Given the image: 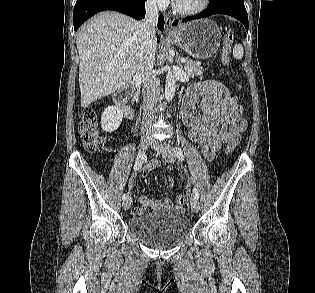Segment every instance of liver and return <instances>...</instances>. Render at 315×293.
<instances>
[{
	"instance_id": "1",
	"label": "liver",
	"mask_w": 315,
	"mask_h": 293,
	"mask_svg": "<svg viewBox=\"0 0 315 293\" xmlns=\"http://www.w3.org/2000/svg\"><path fill=\"white\" fill-rule=\"evenodd\" d=\"M140 24L126 15L107 11L96 15L78 31L82 107L130 83L142 58Z\"/></svg>"
}]
</instances>
